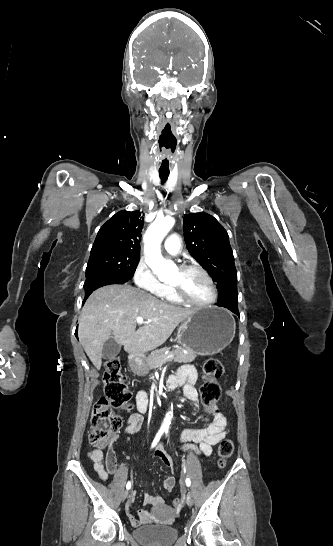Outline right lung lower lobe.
<instances>
[{"instance_id":"obj_1","label":"right lung lower lobe","mask_w":333,"mask_h":546,"mask_svg":"<svg viewBox=\"0 0 333 546\" xmlns=\"http://www.w3.org/2000/svg\"><path fill=\"white\" fill-rule=\"evenodd\" d=\"M128 280L130 279L106 272H91L86 274V281L83 286L85 289L84 302L97 288L110 284H124Z\"/></svg>"}]
</instances>
